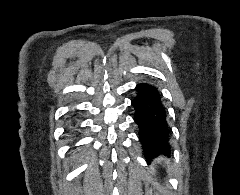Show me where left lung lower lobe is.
I'll return each instance as SVG.
<instances>
[{
    "instance_id": "obj_1",
    "label": "left lung lower lobe",
    "mask_w": 240,
    "mask_h": 195,
    "mask_svg": "<svg viewBox=\"0 0 240 195\" xmlns=\"http://www.w3.org/2000/svg\"><path fill=\"white\" fill-rule=\"evenodd\" d=\"M137 95L131 101L135 109L134 121L147 160L170 151L169 131L165 107L158 89L149 83L137 84Z\"/></svg>"
}]
</instances>
